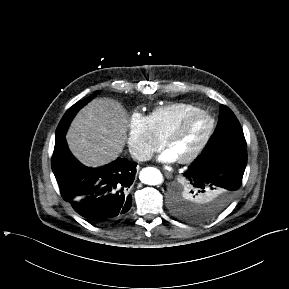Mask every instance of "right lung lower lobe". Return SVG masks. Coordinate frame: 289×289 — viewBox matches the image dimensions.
Masks as SVG:
<instances>
[{"mask_svg":"<svg viewBox=\"0 0 289 289\" xmlns=\"http://www.w3.org/2000/svg\"><path fill=\"white\" fill-rule=\"evenodd\" d=\"M51 166L63 199L89 222L110 223L130 209L136 163L118 158L103 167L88 168L73 157L63 135L55 141Z\"/></svg>","mask_w":289,"mask_h":289,"instance_id":"1","label":"right lung lower lobe"}]
</instances>
